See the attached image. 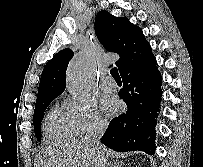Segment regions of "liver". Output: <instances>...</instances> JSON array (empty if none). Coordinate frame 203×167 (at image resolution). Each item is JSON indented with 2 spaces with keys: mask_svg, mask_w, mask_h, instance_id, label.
<instances>
[{
  "mask_svg": "<svg viewBox=\"0 0 203 167\" xmlns=\"http://www.w3.org/2000/svg\"><path fill=\"white\" fill-rule=\"evenodd\" d=\"M106 160L107 150L102 147ZM101 157L87 142L67 140L55 143L39 153L35 167H102Z\"/></svg>",
  "mask_w": 203,
  "mask_h": 167,
  "instance_id": "1",
  "label": "liver"
}]
</instances>
